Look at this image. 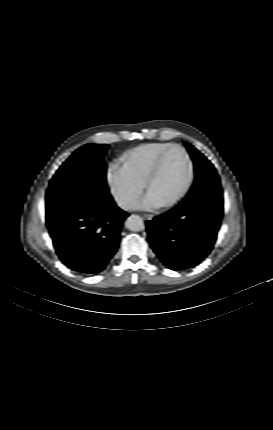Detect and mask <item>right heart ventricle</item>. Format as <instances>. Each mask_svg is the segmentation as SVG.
<instances>
[{
    "instance_id": "obj_1",
    "label": "right heart ventricle",
    "mask_w": 273,
    "mask_h": 430,
    "mask_svg": "<svg viewBox=\"0 0 273 430\" xmlns=\"http://www.w3.org/2000/svg\"><path fill=\"white\" fill-rule=\"evenodd\" d=\"M171 143L152 142L139 145L122 156V163L128 171L145 184L158 155Z\"/></svg>"
}]
</instances>
